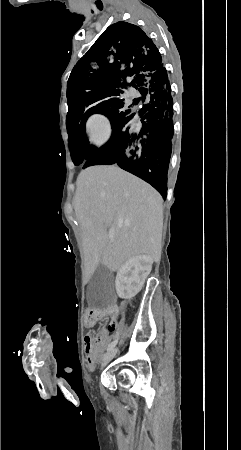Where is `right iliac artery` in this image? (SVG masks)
<instances>
[{
  "label": "right iliac artery",
  "instance_id": "obj_1",
  "mask_svg": "<svg viewBox=\"0 0 241 450\" xmlns=\"http://www.w3.org/2000/svg\"><path fill=\"white\" fill-rule=\"evenodd\" d=\"M116 344H117V339L109 344L107 351L112 350Z\"/></svg>",
  "mask_w": 241,
  "mask_h": 450
}]
</instances>
